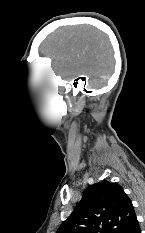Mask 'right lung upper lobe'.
Listing matches in <instances>:
<instances>
[{
  "label": "right lung upper lobe",
  "instance_id": "right-lung-upper-lobe-1",
  "mask_svg": "<svg viewBox=\"0 0 145 233\" xmlns=\"http://www.w3.org/2000/svg\"><path fill=\"white\" fill-rule=\"evenodd\" d=\"M136 217L123 188L102 181L90 185L56 233H125Z\"/></svg>",
  "mask_w": 145,
  "mask_h": 233
}]
</instances>
